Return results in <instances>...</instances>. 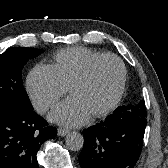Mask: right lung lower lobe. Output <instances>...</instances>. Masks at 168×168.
<instances>
[{"label":"right lung lower lobe","instance_id":"obj_1","mask_svg":"<svg viewBox=\"0 0 168 168\" xmlns=\"http://www.w3.org/2000/svg\"><path fill=\"white\" fill-rule=\"evenodd\" d=\"M56 135L33 108L0 104V168H39V148Z\"/></svg>","mask_w":168,"mask_h":168}]
</instances>
